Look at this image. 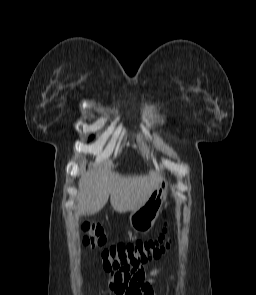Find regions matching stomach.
Instances as JSON below:
<instances>
[{
	"instance_id": "stomach-1",
	"label": "stomach",
	"mask_w": 256,
	"mask_h": 295,
	"mask_svg": "<svg viewBox=\"0 0 256 295\" xmlns=\"http://www.w3.org/2000/svg\"><path fill=\"white\" fill-rule=\"evenodd\" d=\"M167 194L168 184L165 180H162L145 204L130 213V225L136 232H145L152 228Z\"/></svg>"
}]
</instances>
